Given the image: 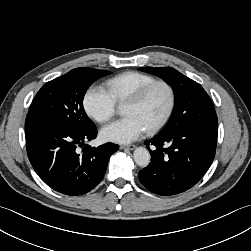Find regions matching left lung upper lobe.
Segmentation results:
<instances>
[{
    "label": "left lung upper lobe",
    "instance_id": "5c2ea615",
    "mask_svg": "<svg viewBox=\"0 0 251 251\" xmlns=\"http://www.w3.org/2000/svg\"><path fill=\"white\" fill-rule=\"evenodd\" d=\"M141 71L156 75L172 86L175 93V108L170 121L161 133L178 128L187 122L192 111L201 100H210L208 94L200 84L184 76L171 67H144Z\"/></svg>",
    "mask_w": 251,
    "mask_h": 251
}]
</instances>
